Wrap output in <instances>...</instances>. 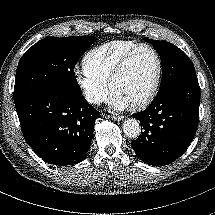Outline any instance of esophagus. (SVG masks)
<instances>
[{
	"label": "esophagus",
	"mask_w": 215,
	"mask_h": 215,
	"mask_svg": "<svg viewBox=\"0 0 215 215\" xmlns=\"http://www.w3.org/2000/svg\"><path fill=\"white\" fill-rule=\"evenodd\" d=\"M125 117L124 116H114L113 117V120H115V121H121V120H123Z\"/></svg>",
	"instance_id": "1"
}]
</instances>
